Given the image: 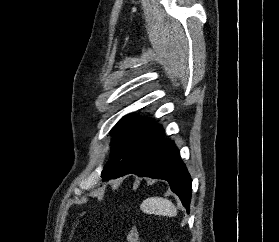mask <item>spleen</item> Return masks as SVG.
Listing matches in <instances>:
<instances>
[{"label": "spleen", "instance_id": "1", "mask_svg": "<svg viewBox=\"0 0 279 242\" xmlns=\"http://www.w3.org/2000/svg\"><path fill=\"white\" fill-rule=\"evenodd\" d=\"M141 209L147 214L169 217L177 215L176 206L169 199L163 197H151L145 199L141 204Z\"/></svg>", "mask_w": 279, "mask_h": 242}]
</instances>
